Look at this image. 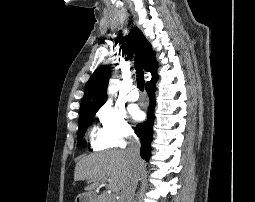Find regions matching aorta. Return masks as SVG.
I'll return each instance as SVG.
<instances>
[{
	"instance_id": "obj_1",
	"label": "aorta",
	"mask_w": 255,
	"mask_h": 202,
	"mask_svg": "<svg viewBox=\"0 0 255 202\" xmlns=\"http://www.w3.org/2000/svg\"><path fill=\"white\" fill-rule=\"evenodd\" d=\"M117 77H118L117 75H114V78H117ZM112 83H113V86L111 87V90H112V88H114V86L117 84L116 79H115Z\"/></svg>"
}]
</instances>
